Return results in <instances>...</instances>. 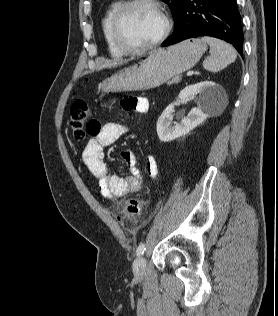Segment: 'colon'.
Instances as JSON below:
<instances>
[{
  "instance_id": "colon-1",
  "label": "colon",
  "mask_w": 278,
  "mask_h": 316,
  "mask_svg": "<svg viewBox=\"0 0 278 316\" xmlns=\"http://www.w3.org/2000/svg\"><path fill=\"white\" fill-rule=\"evenodd\" d=\"M91 110L84 100H76L72 103L69 112V124L73 138L82 141L86 135H94L98 132L100 124L90 120ZM145 202L141 199H130L123 205V217L136 222L142 217V209Z\"/></svg>"
}]
</instances>
